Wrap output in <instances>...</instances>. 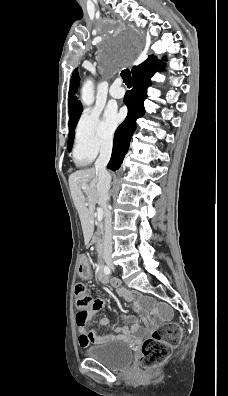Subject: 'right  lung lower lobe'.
I'll list each match as a JSON object with an SVG mask.
<instances>
[{"label": "right lung lower lobe", "instance_id": "1", "mask_svg": "<svg viewBox=\"0 0 228 396\" xmlns=\"http://www.w3.org/2000/svg\"><path fill=\"white\" fill-rule=\"evenodd\" d=\"M164 64L155 56L138 65L132 72L133 89L126 93L124 103L128 107V114L124 122L118 127L113 141L111 159L107 168L117 170L128 151L133 132L136 127V119L145 113L144 100L147 97V87L150 85L151 77L162 69Z\"/></svg>", "mask_w": 228, "mask_h": 396}]
</instances>
